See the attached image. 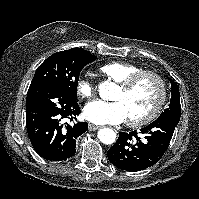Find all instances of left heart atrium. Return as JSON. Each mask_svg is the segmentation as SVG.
<instances>
[{"mask_svg":"<svg viewBox=\"0 0 199 199\" xmlns=\"http://www.w3.org/2000/svg\"><path fill=\"white\" fill-rule=\"evenodd\" d=\"M83 115L87 120L98 125L118 124L127 118L125 107L120 101L115 100L92 101L84 107Z\"/></svg>","mask_w":199,"mask_h":199,"instance_id":"39dd6f15","label":"left heart atrium"}]
</instances>
